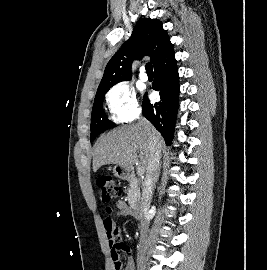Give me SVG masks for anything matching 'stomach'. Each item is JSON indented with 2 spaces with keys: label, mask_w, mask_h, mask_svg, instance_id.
I'll list each match as a JSON object with an SVG mask.
<instances>
[{
  "label": "stomach",
  "mask_w": 267,
  "mask_h": 270,
  "mask_svg": "<svg viewBox=\"0 0 267 270\" xmlns=\"http://www.w3.org/2000/svg\"><path fill=\"white\" fill-rule=\"evenodd\" d=\"M113 173L117 178L125 180L130 176V169L120 165H115L113 168Z\"/></svg>",
  "instance_id": "obj_1"
}]
</instances>
